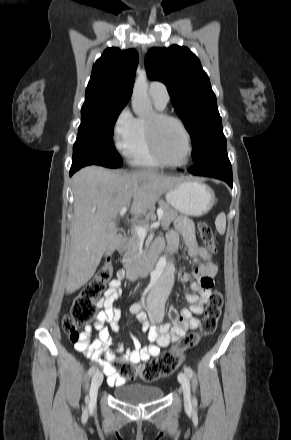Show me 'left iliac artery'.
Masks as SVG:
<instances>
[{"label":"left iliac artery","mask_w":291,"mask_h":440,"mask_svg":"<svg viewBox=\"0 0 291 440\" xmlns=\"http://www.w3.org/2000/svg\"><path fill=\"white\" fill-rule=\"evenodd\" d=\"M184 371H185V373L189 376V378H192V377H193V370L191 369V367L186 366V367L184 368ZM193 404H194V405L197 404V399H196L195 397L193 398Z\"/></svg>","instance_id":"left-iliac-artery-1"}]
</instances>
